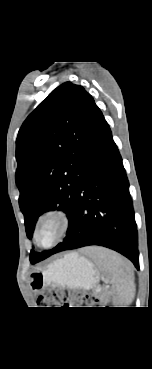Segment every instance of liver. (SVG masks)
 <instances>
[{
    "label": "liver",
    "instance_id": "1",
    "mask_svg": "<svg viewBox=\"0 0 152 369\" xmlns=\"http://www.w3.org/2000/svg\"><path fill=\"white\" fill-rule=\"evenodd\" d=\"M88 251L93 253L95 251V248H90Z\"/></svg>",
    "mask_w": 152,
    "mask_h": 369
}]
</instances>
